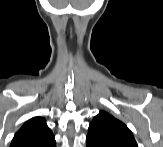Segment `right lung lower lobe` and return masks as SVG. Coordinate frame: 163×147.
<instances>
[{
    "mask_svg": "<svg viewBox=\"0 0 163 147\" xmlns=\"http://www.w3.org/2000/svg\"><path fill=\"white\" fill-rule=\"evenodd\" d=\"M56 142L54 136L47 140H34V141H24L14 145L11 147H55Z\"/></svg>",
    "mask_w": 163,
    "mask_h": 147,
    "instance_id": "98d812e1",
    "label": "right lung lower lobe"
}]
</instances>
